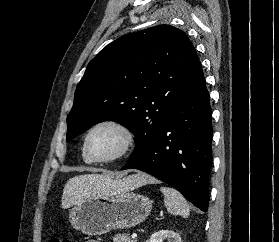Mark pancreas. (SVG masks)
Returning <instances> with one entry per match:
<instances>
[{
	"mask_svg": "<svg viewBox=\"0 0 279 242\" xmlns=\"http://www.w3.org/2000/svg\"><path fill=\"white\" fill-rule=\"evenodd\" d=\"M113 242H136V240H131L128 234H116L113 238Z\"/></svg>",
	"mask_w": 279,
	"mask_h": 242,
	"instance_id": "obj_1",
	"label": "pancreas"
}]
</instances>
